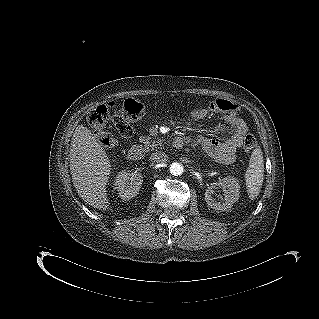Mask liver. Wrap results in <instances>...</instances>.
I'll return each instance as SVG.
<instances>
[{
  "label": "liver",
  "instance_id": "6515ba94",
  "mask_svg": "<svg viewBox=\"0 0 319 319\" xmlns=\"http://www.w3.org/2000/svg\"><path fill=\"white\" fill-rule=\"evenodd\" d=\"M70 172L73 185L85 204L101 211L111 208L107 184L112 163L96 135L82 124L72 137Z\"/></svg>",
  "mask_w": 319,
  "mask_h": 319
}]
</instances>
